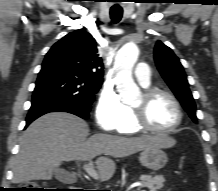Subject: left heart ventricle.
I'll return each instance as SVG.
<instances>
[{
  "mask_svg": "<svg viewBox=\"0 0 218 191\" xmlns=\"http://www.w3.org/2000/svg\"><path fill=\"white\" fill-rule=\"evenodd\" d=\"M144 104L143 95L133 104L140 107ZM147 117L155 128L165 129L173 126L177 121V111L173 103L165 96L155 97L147 106Z\"/></svg>",
  "mask_w": 218,
  "mask_h": 191,
  "instance_id": "obj_1",
  "label": "left heart ventricle"
}]
</instances>
